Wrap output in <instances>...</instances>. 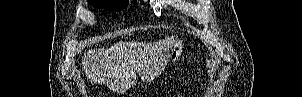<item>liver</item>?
Listing matches in <instances>:
<instances>
[{"label": "liver", "instance_id": "6515ba94", "mask_svg": "<svg viewBox=\"0 0 302 97\" xmlns=\"http://www.w3.org/2000/svg\"><path fill=\"white\" fill-rule=\"evenodd\" d=\"M177 37H166L155 43L125 41L110 48L90 49L82 57L87 79L93 84H107L117 93H125L134 83L136 72L147 77V71L159 75L164 69Z\"/></svg>", "mask_w": 302, "mask_h": 97}]
</instances>
